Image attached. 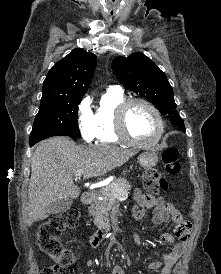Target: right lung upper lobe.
Listing matches in <instances>:
<instances>
[{
	"label": "right lung upper lobe",
	"mask_w": 221,
	"mask_h": 274,
	"mask_svg": "<svg viewBox=\"0 0 221 274\" xmlns=\"http://www.w3.org/2000/svg\"><path fill=\"white\" fill-rule=\"evenodd\" d=\"M96 67V55L74 49L58 61L43 83L41 100L82 98L87 92Z\"/></svg>",
	"instance_id": "1"
}]
</instances>
